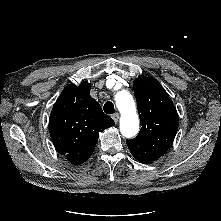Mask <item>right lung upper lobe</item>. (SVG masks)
Returning a JSON list of instances; mask_svg holds the SVG:
<instances>
[{"label":"right lung upper lobe","mask_w":221,"mask_h":221,"mask_svg":"<svg viewBox=\"0 0 221 221\" xmlns=\"http://www.w3.org/2000/svg\"><path fill=\"white\" fill-rule=\"evenodd\" d=\"M91 84L66 86L55 102L49 131L56 150L75 165L87 161L98 141L99 132L114 125L101 106L90 96Z\"/></svg>","instance_id":"obj_1"}]
</instances>
